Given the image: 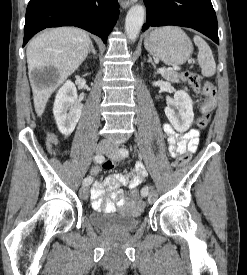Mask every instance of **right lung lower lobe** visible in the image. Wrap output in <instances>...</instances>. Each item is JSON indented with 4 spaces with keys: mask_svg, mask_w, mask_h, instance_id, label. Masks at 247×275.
Here are the masks:
<instances>
[{
    "mask_svg": "<svg viewBox=\"0 0 247 275\" xmlns=\"http://www.w3.org/2000/svg\"><path fill=\"white\" fill-rule=\"evenodd\" d=\"M118 16L117 0H30L23 46L39 31L59 26L80 27L106 43Z\"/></svg>",
    "mask_w": 247,
    "mask_h": 275,
    "instance_id": "right-lung-lower-lobe-1",
    "label": "right lung lower lobe"
}]
</instances>
